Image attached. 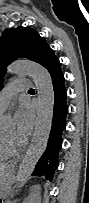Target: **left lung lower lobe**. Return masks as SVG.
<instances>
[{
	"label": "left lung lower lobe",
	"instance_id": "0a47b994",
	"mask_svg": "<svg viewBox=\"0 0 89 203\" xmlns=\"http://www.w3.org/2000/svg\"><path fill=\"white\" fill-rule=\"evenodd\" d=\"M50 73L54 88V112L52 128L48 140V146L33 172L35 176H45L52 180L55 169L58 167V153L62 146V132L66 126L68 107L66 104V90L64 76L60 62L54 51L47 46L43 51L40 63Z\"/></svg>",
	"mask_w": 89,
	"mask_h": 203
}]
</instances>
